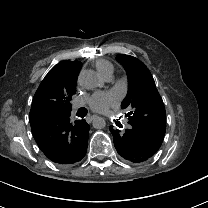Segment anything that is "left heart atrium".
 Listing matches in <instances>:
<instances>
[{"mask_svg":"<svg viewBox=\"0 0 208 208\" xmlns=\"http://www.w3.org/2000/svg\"><path fill=\"white\" fill-rule=\"evenodd\" d=\"M90 108L99 113L106 112L110 106V98L106 95L95 94L87 99Z\"/></svg>","mask_w":208,"mask_h":208,"instance_id":"obj_1","label":"left heart atrium"}]
</instances>
